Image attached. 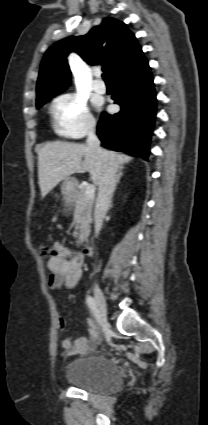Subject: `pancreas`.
I'll use <instances>...</instances> for the list:
<instances>
[{
  "label": "pancreas",
  "mask_w": 208,
  "mask_h": 425,
  "mask_svg": "<svg viewBox=\"0 0 208 425\" xmlns=\"http://www.w3.org/2000/svg\"><path fill=\"white\" fill-rule=\"evenodd\" d=\"M93 204L94 197H88L86 195V187H83L78 193L73 214V222L75 224L73 236L76 238L77 247H80L90 234Z\"/></svg>",
  "instance_id": "cf45deb5"
}]
</instances>
